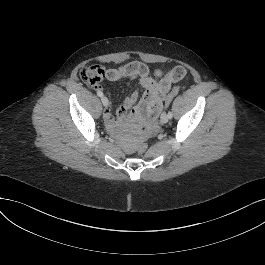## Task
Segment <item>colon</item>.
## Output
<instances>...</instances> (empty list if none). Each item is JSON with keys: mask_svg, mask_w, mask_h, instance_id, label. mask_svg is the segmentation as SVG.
I'll list each match as a JSON object with an SVG mask.
<instances>
[{"mask_svg": "<svg viewBox=\"0 0 265 265\" xmlns=\"http://www.w3.org/2000/svg\"><path fill=\"white\" fill-rule=\"evenodd\" d=\"M104 75L103 68L98 65L86 66L80 71V76L83 81L90 85L96 84L99 80L102 79ZM179 92L178 88L173 89L165 99V107L169 106L173 98ZM148 146L145 143H139L136 147L138 153L143 154L147 151Z\"/></svg>", "mask_w": 265, "mask_h": 265, "instance_id": "1", "label": "colon"}]
</instances>
